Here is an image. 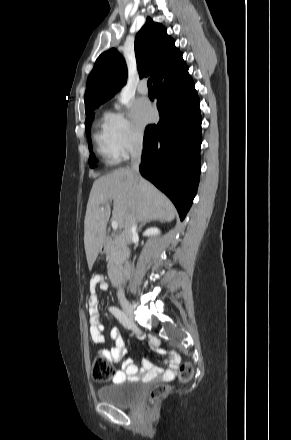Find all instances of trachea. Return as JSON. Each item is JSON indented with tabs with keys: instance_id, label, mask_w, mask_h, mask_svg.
I'll return each mask as SVG.
<instances>
[{
	"instance_id": "1",
	"label": "trachea",
	"mask_w": 291,
	"mask_h": 440,
	"mask_svg": "<svg viewBox=\"0 0 291 440\" xmlns=\"http://www.w3.org/2000/svg\"><path fill=\"white\" fill-rule=\"evenodd\" d=\"M147 85H148V88H152V80L151 79H148Z\"/></svg>"
}]
</instances>
